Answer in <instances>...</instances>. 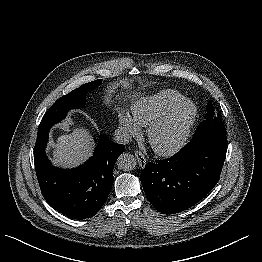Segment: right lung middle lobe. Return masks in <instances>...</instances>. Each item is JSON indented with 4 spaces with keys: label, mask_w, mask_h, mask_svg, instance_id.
<instances>
[{
    "label": "right lung middle lobe",
    "mask_w": 262,
    "mask_h": 262,
    "mask_svg": "<svg viewBox=\"0 0 262 262\" xmlns=\"http://www.w3.org/2000/svg\"><path fill=\"white\" fill-rule=\"evenodd\" d=\"M101 84V80L86 83L59 98L46 112L42 122H59L71 109H78L85 103V95ZM41 122V123H42Z\"/></svg>",
    "instance_id": "obj_1"
}]
</instances>
